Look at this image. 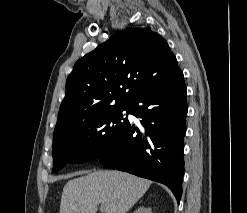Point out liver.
Segmentation results:
<instances>
[{
  "mask_svg": "<svg viewBox=\"0 0 247 213\" xmlns=\"http://www.w3.org/2000/svg\"><path fill=\"white\" fill-rule=\"evenodd\" d=\"M63 188L60 213H126L148 190L150 180L120 171L85 172Z\"/></svg>",
  "mask_w": 247,
  "mask_h": 213,
  "instance_id": "1",
  "label": "liver"
}]
</instances>
